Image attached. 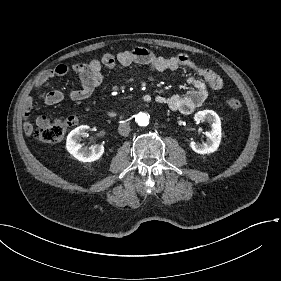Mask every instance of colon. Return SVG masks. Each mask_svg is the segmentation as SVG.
I'll list each match as a JSON object with an SVG mask.
<instances>
[{
	"instance_id": "obj_1",
	"label": "colon",
	"mask_w": 281,
	"mask_h": 281,
	"mask_svg": "<svg viewBox=\"0 0 281 281\" xmlns=\"http://www.w3.org/2000/svg\"><path fill=\"white\" fill-rule=\"evenodd\" d=\"M227 105L232 109H238L241 102L237 98H227ZM69 127V119L66 117L56 118L39 126V141L43 143H57L63 139Z\"/></svg>"
}]
</instances>
